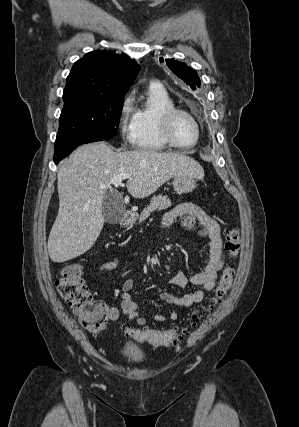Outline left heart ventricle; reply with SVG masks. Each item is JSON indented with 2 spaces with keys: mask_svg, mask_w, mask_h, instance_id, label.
<instances>
[{
  "mask_svg": "<svg viewBox=\"0 0 299 427\" xmlns=\"http://www.w3.org/2000/svg\"><path fill=\"white\" fill-rule=\"evenodd\" d=\"M172 135L179 144H192L196 138L194 122L185 115H177L171 125Z\"/></svg>",
  "mask_w": 299,
  "mask_h": 427,
  "instance_id": "b2bd125f",
  "label": "left heart ventricle"
}]
</instances>
